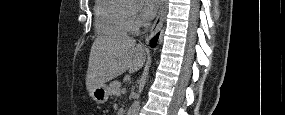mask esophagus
I'll return each mask as SVG.
<instances>
[{"label":"esophagus","instance_id":"esophagus-1","mask_svg":"<svg viewBox=\"0 0 285 115\" xmlns=\"http://www.w3.org/2000/svg\"><path fill=\"white\" fill-rule=\"evenodd\" d=\"M166 5H167V0H162L161 1V5H160V9L158 12V15L153 23V25L151 26V29L149 31L146 43H148V41L157 34V32L160 30V28L162 27L163 21H164V16H165V11H166Z\"/></svg>","mask_w":285,"mask_h":115}]
</instances>
